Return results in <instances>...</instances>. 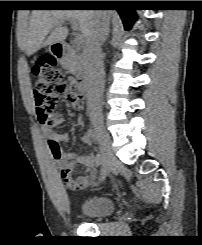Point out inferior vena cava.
Listing matches in <instances>:
<instances>
[{
    "instance_id": "1",
    "label": "inferior vena cava",
    "mask_w": 202,
    "mask_h": 245,
    "mask_svg": "<svg viewBox=\"0 0 202 245\" xmlns=\"http://www.w3.org/2000/svg\"><path fill=\"white\" fill-rule=\"evenodd\" d=\"M108 32L109 18L105 12H98L94 28L86 40L83 51L86 76L89 83L87 106L89 113L93 116H99L102 112L101 96L105 77L102 45Z\"/></svg>"
}]
</instances>
